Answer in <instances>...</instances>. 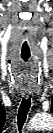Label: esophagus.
I'll return each mask as SVG.
<instances>
[{
	"label": "esophagus",
	"mask_w": 53,
	"mask_h": 133,
	"mask_svg": "<svg viewBox=\"0 0 53 133\" xmlns=\"http://www.w3.org/2000/svg\"><path fill=\"white\" fill-rule=\"evenodd\" d=\"M30 90H24L23 91V95L25 96V97H29V95H30Z\"/></svg>",
	"instance_id": "34e87169"
}]
</instances>
